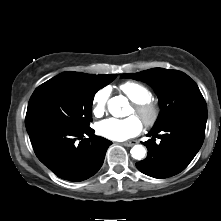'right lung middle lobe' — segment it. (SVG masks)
I'll list each match as a JSON object with an SVG mask.
<instances>
[{
  "mask_svg": "<svg viewBox=\"0 0 221 221\" xmlns=\"http://www.w3.org/2000/svg\"><path fill=\"white\" fill-rule=\"evenodd\" d=\"M116 76L105 82L68 73L51 78L33 92L26 113V127L54 123L79 131L90 129L94 95Z\"/></svg>",
  "mask_w": 221,
  "mask_h": 221,
  "instance_id": "obj_1",
  "label": "right lung middle lobe"
}]
</instances>
